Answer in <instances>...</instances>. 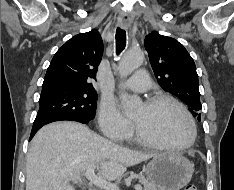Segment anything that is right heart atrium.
Here are the masks:
<instances>
[{"mask_svg":"<svg viewBox=\"0 0 234 190\" xmlns=\"http://www.w3.org/2000/svg\"><path fill=\"white\" fill-rule=\"evenodd\" d=\"M98 125L101 132L114 141H122L132 131V122L108 99L102 100L99 106Z\"/></svg>","mask_w":234,"mask_h":190,"instance_id":"d8ad5b80","label":"right heart atrium"}]
</instances>
